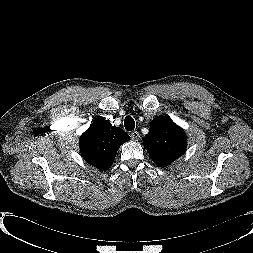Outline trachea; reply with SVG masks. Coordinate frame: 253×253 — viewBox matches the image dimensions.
I'll use <instances>...</instances> for the list:
<instances>
[{"label":"trachea","mask_w":253,"mask_h":253,"mask_svg":"<svg viewBox=\"0 0 253 253\" xmlns=\"http://www.w3.org/2000/svg\"><path fill=\"white\" fill-rule=\"evenodd\" d=\"M124 126L127 131H132L135 128L134 119L131 116H126L124 120Z\"/></svg>","instance_id":"1"}]
</instances>
